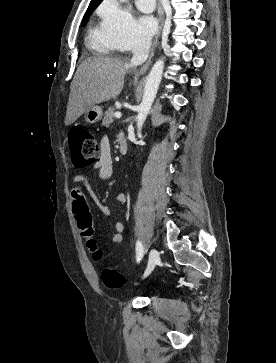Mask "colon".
Returning a JSON list of instances; mask_svg holds the SVG:
<instances>
[{"mask_svg": "<svg viewBox=\"0 0 276 363\" xmlns=\"http://www.w3.org/2000/svg\"><path fill=\"white\" fill-rule=\"evenodd\" d=\"M69 147L72 160L75 166L79 168L88 167L96 163L99 159V145L92 132L85 128H74L69 134ZM88 215L84 214L79 217L78 225L82 229H88L90 226ZM86 244L92 251L95 260L102 258V252L97 248L94 236L90 233ZM104 285L109 289H119L125 284V277L113 268H105L101 273Z\"/></svg>", "mask_w": 276, "mask_h": 363, "instance_id": "colon-1", "label": "colon"}]
</instances>
